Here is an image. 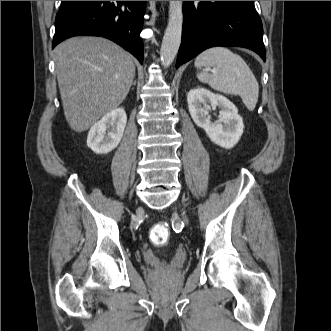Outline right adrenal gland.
<instances>
[{
	"label": "right adrenal gland",
	"mask_w": 331,
	"mask_h": 331,
	"mask_svg": "<svg viewBox=\"0 0 331 331\" xmlns=\"http://www.w3.org/2000/svg\"><path fill=\"white\" fill-rule=\"evenodd\" d=\"M132 85H134V86H135V85H136V81H134V82L132 83Z\"/></svg>",
	"instance_id": "2a0ac1e0"
}]
</instances>
